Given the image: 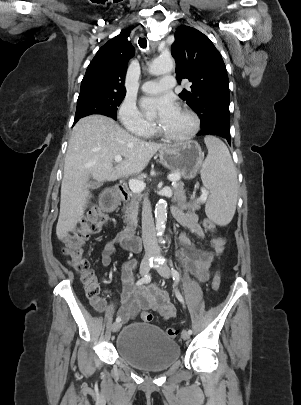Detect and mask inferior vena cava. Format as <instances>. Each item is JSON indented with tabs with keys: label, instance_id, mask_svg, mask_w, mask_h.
<instances>
[{
	"label": "inferior vena cava",
	"instance_id": "inferior-vena-cava-1",
	"mask_svg": "<svg viewBox=\"0 0 301 405\" xmlns=\"http://www.w3.org/2000/svg\"><path fill=\"white\" fill-rule=\"evenodd\" d=\"M142 239L146 254L156 252L155 226L148 195H145L142 207Z\"/></svg>",
	"mask_w": 301,
	"mask_h": 405
}]
</instances>
